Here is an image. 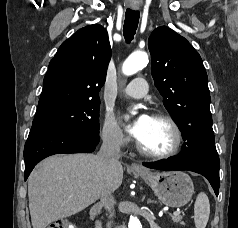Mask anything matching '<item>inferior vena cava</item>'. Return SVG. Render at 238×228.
<instances>
[{
  "label": "inferior vena cava",
  "instance_id": "inferior-vena-cava-1",
  "mask_svg": "<svg viewBox=\"0 0 238 228\" xmlns=\"http://www.w3.org/2000/svg\"><path fill=\"white\" fill-rule=\"evenodd\" d=\"M97 156L103 166L116 164L121 157L119 139L115 135L104 136L102 146ZM100 200L107 211L108 221L106 228H112L115 216V201L112 192L107 190L105 186L100 191Z\"/></svg>",
  "mask_w": 238,
  "mask_h": 228
}]
</instances>
